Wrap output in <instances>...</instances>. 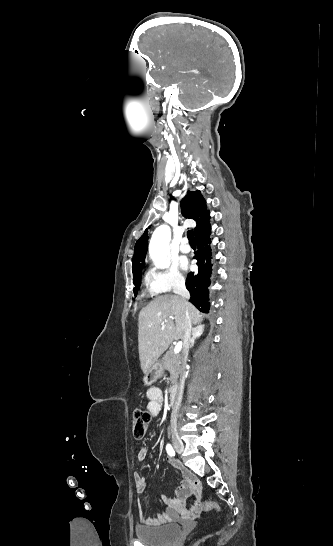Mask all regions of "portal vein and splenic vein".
I'll return each mask as SVG.
<instances>
[{
    "instance_id": "1",
    "label": "portal vein and splenic vein",
    "mask_w": 333,
    "mask_h": 546,
    "mask_svg": "<svg viewBox=\"0 0 333 546\" xmlns=\"http://www.w3.org/2000/svg\"><path fill=\"white\" fill-rule=\"evenodd\" d=\"M182 349V341H179L174 347V354H179Z\"/></svg>"
}]
</instances>
